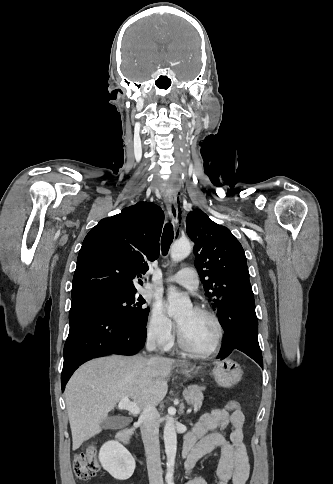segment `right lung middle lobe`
<instances>
[{"label": "right lung middle lobe", "mask_w": 333, "mask_h": 484, "mask_svg": "<svg viewBox=\"0 0 333 484\" xmlns=\"http://www.w3.org/2000/svg\"><path fill=\"white\" fill-rule=\"evenodd\" d=\"M92 294L104 299L115 313L132 325L138 328L146 326L149 309L144 306L145 300L142 297L135 299V293H117L110 290L95 291Z\"/></svg>", "instance_id": "right-lung-middle-lobe-1"}]
</instances>
